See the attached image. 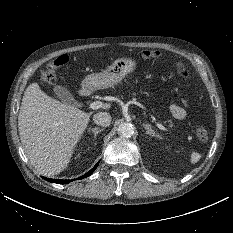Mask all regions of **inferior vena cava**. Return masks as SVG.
<instances>
[{
	"instance_id": "602c4592",
	"label": "inferior vena cava",
	"mask_w": 233,
	"mask_h": 233,
	"mask_svg": "<svg viewBox=\"0 0 233 233\" xmlns=\"http://www.w3.org/2000/svg\"><path fill=\"white\" fill-rule=\"evenodd\" d=\"M111 119V115L107 112H99L93 117L94 123L103 127L109 126Z\"/></svg>"
}]
</instances>
